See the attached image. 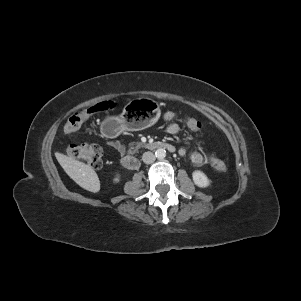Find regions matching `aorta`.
Here are the masks:
<instances>
[{
	"mask_svg": "<svg viewBox=\"0 0 301 301\" xmlns=\"http://www.w3.org/2000/svg\"><path fill=\"white\" fill-rule=\"evenodd\" d=\"M155 156H156V158H158V159H163V158H165V156H166V150L163 149V148H158V149L155 151Z\"/></svg>",
	"mask_w": 301,
	"mask_h": 301,
	"instance_id": "1",
	"label": "aorta"
}]
</instances>
